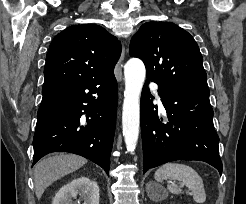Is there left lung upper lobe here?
Masks as SVG:
<instances>
[{
  "mask_svg": "<svg viewBox=\"0 0 246 204\" xmlns=\"http://www.w3.org/2000/svg\"><path fill=\"white\" fill-rule=\"evenodd\" d=\"M129 53L144 62L148 80L209 89L197 43L174 23L143 24L131 39Z\"/></svg>",
  "mask_w": 246,
  "mask_h": 204,
  "instance_id": "left-lung-upper-lobe-1",
  "label": "left lung upper lobe"
}]
</instances>
